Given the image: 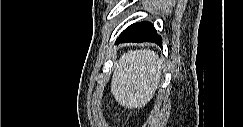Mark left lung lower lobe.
<instances>
[{"label": "left lung lower lobe", "instance_id": "obj_1", "mask_svg": "<svg viewBox=\"0 0 243 127\" xmlns=\"http://www.w3.org/2000/svg\"><path fill=\"white\" fill-rule=\"evenodd\" d=\"M126 42H156L162 45V38L156 33L153 24L147 21L138 22L126 28L117 38L115 44Z\"/></svg>", "mask_w": 243, "mask_h": 127}]
</instances>
